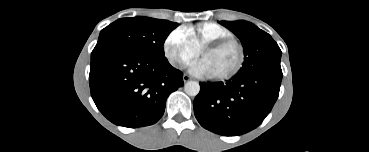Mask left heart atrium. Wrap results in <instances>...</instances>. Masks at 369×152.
Wrapping results in <instances>:
<instances>
[{
  "mask_svg": "<svg viewBox=\"0 0 369 152\" xmlns=\"http://www.w3.org/2000/svg\"><path fill=\"white\" fill-rule=\"evenodd\" d=\"M190 72L197 76H211L207 64L203 60L192 63L190 66Z\"/></svg>",
  "mask_w": 369,
  "mask_h": 152,
  "instance_id": "1",
  "label": "left heart atrium"
}]
</instances>
